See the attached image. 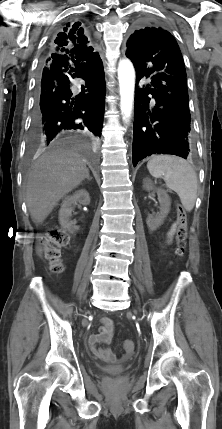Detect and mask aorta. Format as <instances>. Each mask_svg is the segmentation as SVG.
I'll return each mask as SVG.
<instances>
[{"mask_svg": "<svg viewBox=\"0 0 222 429\" xmlns=\"http://www.w3.org/2000/svg\"><path fill=\"white\" fill-rule=\"evenodd\" d=\"M118 80L121 97L120 109L123 116V121L128 123L133 108L135 87V70L130 60L122 59L119 61Z\"/></svg>", "mask_w": 222, "mask_h": 429, "instance_id": "obj_1", "label": "aorta"}]
</instances>
